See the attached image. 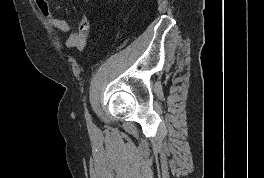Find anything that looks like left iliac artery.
Wrapping results in <instances>:
<instances>
[{"label": "left iliac artery", "mask_w": 264, "mask_h": 178, "mask_svg": "<svg viewBox=\"0 0 264 178\" xmlns=\"http://www.w3.org/2000/svg\"><path fill=\"white\" fill-rule=\"evenodd\" d=\"M85 119L87 121H91V115H90V113H89L87 108H85Z\"/></svg>", "instance_id": "1"}]
</instances>
